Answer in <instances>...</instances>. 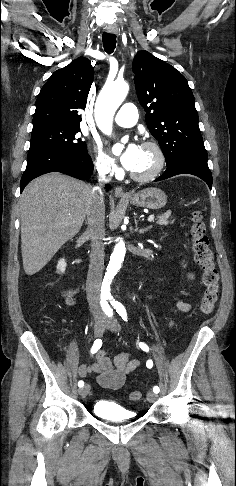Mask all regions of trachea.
Here are the masks:
<instances>
[{"mask_svg": "<svg viewBox=\"0 0 236 486\" xmlns=\"http://www.w3.org/2000/svg\"><path fill=\"white\" fill-rule=\"evenodd\" d=\"M104 50L111 54L116 47V35L112 33L104 32L102 35Z\"/></svg>", "mask_w": 236, "mask_h": 486, "instance_id": "obj_1", "label": "trachea"}]
</instances>
